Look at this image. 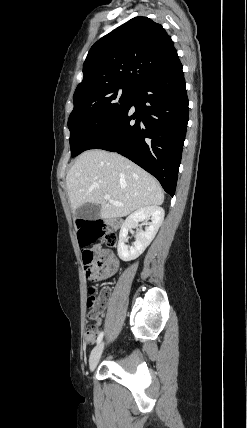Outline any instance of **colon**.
I'll use <instances>...</instances> for the list:
<instances>
[{"mask_svg":"<svg viewBox=\"0 0 247 428\" xmlns=\"http://www.w3.org/2000/svg\"><path fill=\"white\" fill-rule=\"evenodd\" d=\"M81 226L79 227V234L76 235V242L81 243L82 246H87L91 243H99L100 238L109 247H115L118 243L117 231L102 222L92 221L86 222L85 219H80ZM82 259L84 264V271L88 279L96 280L95 274L98 269L103 266V258L100 257L95 260V252L92 249L85 248L82 251ZM90 297L87 305L90 309L89 317L95 318L101 313V301L95 295V290L90 289ZM107 291H102V296L106 295ZM95 326H88L85 334L93 333Z\"/></svg>","mask_w":247,"mask_h":428,"instance_id":"5ec220e1","label":"colon"}]
</instances>
